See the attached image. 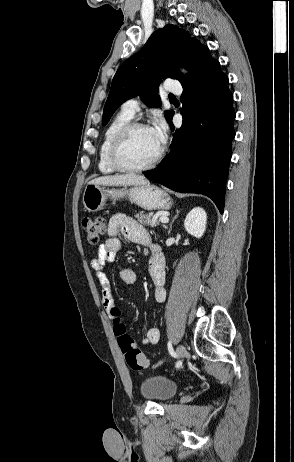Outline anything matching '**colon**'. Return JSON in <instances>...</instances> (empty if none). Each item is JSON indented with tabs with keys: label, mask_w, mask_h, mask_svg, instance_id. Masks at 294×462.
I'll return each mask as SVG.
<instances>
[{
	"label": "colon",
	"mask_w": 294,
	"mask_h": 462,
	"mask_svg": "<svg viewBox=\"0 0 294 462\" xmlns=\"http://www.w3.org/2000/svg\"><path fill=\"white\" fill-rule=\"evenodd\" d=\"M81 225L86 239L91 245H96L106 231V222L103 218L99 217H85ZM111 312L116 316L113 321V330L117 337L118 344L124 353L127 364L135 371L145 369L148 366V361L135 345L132 337L126 333V327L119 318V309L114 307Z\"/></svg>",
	"instance_id": "5ec220e1"
}]
</instances>
